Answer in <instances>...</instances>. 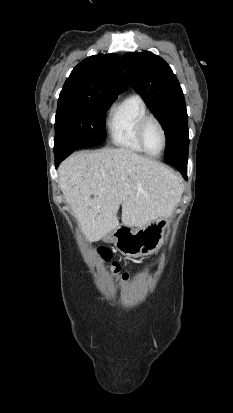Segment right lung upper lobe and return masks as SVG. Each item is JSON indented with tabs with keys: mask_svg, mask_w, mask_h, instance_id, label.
<instances>
[{
	"mask_svg": "<svg viewBox=\"0 0 233 413\" xmlns=\"http://www.w3.org/2000/svg\"><path fill=\"white\" fill-rule=\"evenodd\" d=\"M127 82L116 54H98L81 61L71 72L61 91L99 97L117 98Z\"/></svg>",
	"mask_w": 233,
	"mask_h": 413,
	"instance_id": "right-lung-upper-lobe-1",
	"label": "right lung upper lobe"
}]
</instances>
